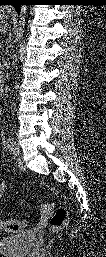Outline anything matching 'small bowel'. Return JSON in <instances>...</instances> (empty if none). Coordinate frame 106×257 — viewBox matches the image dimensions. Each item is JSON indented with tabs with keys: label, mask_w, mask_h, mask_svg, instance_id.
<instances>
[{
	"label": "small bowel",
	"mask_w": 106,
	"mask_h": 257,
	"mask_svg": "<svg viewBox=\"0 0 106 257\" xmlns=\"http://www.w3.org/2000/svg\"><path fill=\"white\" fill-rule=\"evenodd\" d=\"M5 187H6V183L4 181H2L1 185H0V196L3 195V193L5 191Z\"/></svg>",
	"instance_id": "1"
}]
</instances>
